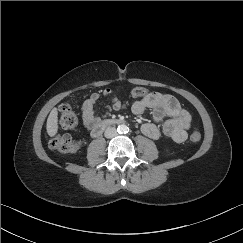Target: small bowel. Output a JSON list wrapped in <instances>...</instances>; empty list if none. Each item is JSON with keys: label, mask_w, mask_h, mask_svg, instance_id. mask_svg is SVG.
Here are the masks:
<instances>
[{"label": "small bowel", "mask_w": 243, "mask_h": 243, "mask_svg": "<svg viewBox=\"0 0 243 243\" xmlns=\"http://www.w3.org/2000/svg\"><path fill=\"white\" fill-rule=\"evenodd\" d=\"M102 100L108 101L104 115L100 114L97 109ZM125 107L124 101L113 95L109 88L104 89L101 93H93L81 106L83 125L88 130L93 129L105 115ZM146 109L151 110L153 118L152 121L145 122L141 126V130L146 136L152 139L166 136L177 143L185 141L192 117L187 110L180 106L175 97L158 92H146L130 106L133 115H140ZM165 117L168 119L160 126Z\"/></svg>", "instance_id": "c3829d8e"}]
</instances>
